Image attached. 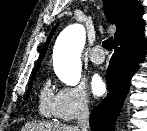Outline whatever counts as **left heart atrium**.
Here are the masks:
<instances>
[{"mask_svg":"<svg viewBox=\"0 0 147 131\" xmlns=\"http://www.w3.org/2000/svg\"><path fill=\"white\" fill-rule=\"evenodd\" d=\"M90 88L95 96H100L103 94L105 90V83L98 74H94L92 76L90 81Z\"/></svg>","mask_w":147,"mask_h":131,"instance_id":"obj_1","label":"left heart atrium"}]
</instances>
